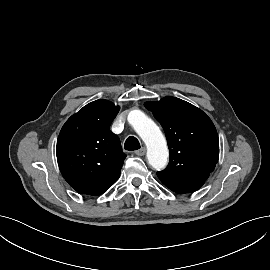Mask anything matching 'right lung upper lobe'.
I'll return each instance as SVG.
<instances>
[{
	"instance_id": "1",
	"label": "right lung upper lobe",
	"mask_w": 270,
	"mask_h": 270,
	"mask_svg": "<svg viewBox=\"0 0 270 270\" xmlns=\"http://www.w3.org/2000/svg\"><path fill=\"white\" fill-rule=\"evenodd\" d=\"M119 109L108 100L93 101L71 116L60 131L58 165L79 193L98 196L120 176L126 154L119 137L110 131Z\"/></svg>"
}]
</instances>
